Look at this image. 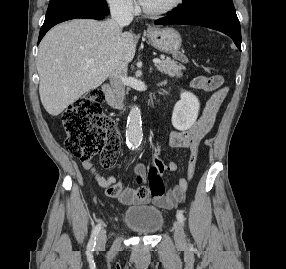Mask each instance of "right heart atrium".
<instances>
[{"instance_id":"right-heart-atrium-1","label":"right heart atrium","mask_w":286,"mask_h":269,"mask_svg":"<svg viewBox=\"0 0 286 269\" xmlns=\"http://www.w3.org/2000/svg\"><path fill=\"white\" fill-rule=\"evenodd\" d=\"M109 7L125 15H132L136 12L135 0H106Z\"/></svg>"}]
</instances>
